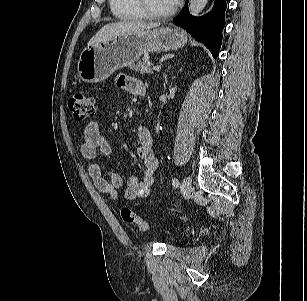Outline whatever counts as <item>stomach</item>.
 <instances>
[{"label":"stomach","mask_w":307,"mask_h":301,"mask_svg":"<svg viewBox=\"0 0 307 301\" xmlns=\"http://www.w3.org/2000/svg\"><path fill=\"white\" fill-rule=\"evenodd\" d=\"M186 43L185 33L173 27L120 34L86 47L79 57L78 75L87 83H99L116 70L132 65L143 54L176 50Z\"/></svg>","instance_id":"obj_1"}]
</instances>
